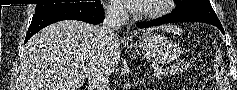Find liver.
Instances as JSON below:
<instances>
[{
	"label": "liver",
	"instance_id": "obj_1",
	"mask_svg": "<svg viewBox=\"0 0 237 90\" xmlns=\"http://www.w3.org/2000/svg\"><path fill=\"white\" fill-rule=\"evenodd\" d=\"M100 42L99 26L77 20L43 28L25 44L20 64L22 90H79ZM118 42L119 38L110 46L109 66L113 68L120 58Z\"/></svg>",
	"mask_w": 237,
	"mask_h": 90
}]
</instances>
